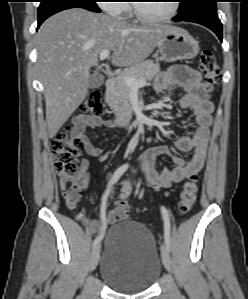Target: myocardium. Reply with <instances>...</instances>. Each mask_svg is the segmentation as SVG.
Masks as SVG:
<instances>
[{
	"mask_svg": "<svg viewBox=\"0 0 248 299\" xmlns=\"http://www.w3.org/2000/svg\"><path fill=\"white\" fill-rule=\"evenodd\" d=\"M171 1V8L170 11L161 17H150L147 15H144L138 8V3H134L132 4V12L133 15L140 21L143 23H148V24H156V23H163V22H167L171 19H173L179 10V3L177 0H170Z\"/></svg>",
	"mask_w": 248,
	"mask_h": 299,
	"instance_id": "myocardium-1",
	"label": "myocardium"
}]
</instances>
